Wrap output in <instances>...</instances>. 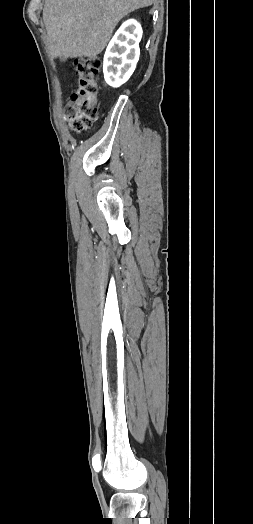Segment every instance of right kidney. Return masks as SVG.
Masks as SVG:
<instances>
[{
    "label": "right kidney",
    "instance_id": "right-kidney-1",
    "mask_svg": "<svg viewBox=\"0 0 253 524\" xmlns=\"http://www.w3.org/2000/svg\"><path fill=\"white\" fill-rule=\"evenodd\" d=\"M142 33L141 25L130 19L113 36L103 61L104 78L108 85L119 87L131 77L139 60Z\"/></svg>",
    "mask_w": 253,
    "mask_h": 524
}]
</instances>
